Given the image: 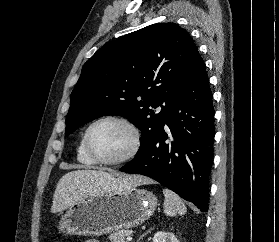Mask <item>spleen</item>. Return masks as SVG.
Returning <instances> with one entry per match:
<instances>
[{
  "label": "spleen",
  "instance_id": "3e777b00",
  "mask_svg": "<svg viewBox=\"0 0 279 242\" xmlns=\"http://www.w3.org/2000/svg\"><path fill=\"white\" fill-rule=\"evenodd\" d=\"M164 200V212L168 216H174L176 214H185L186 206L183 200L173 191L169 189H163Z\"/></svg>",
  "mask_w": 279,
  "mask_h": 242
}]
</instances>
